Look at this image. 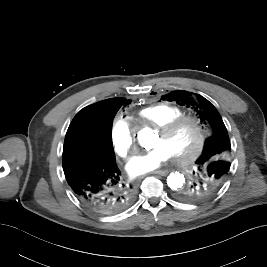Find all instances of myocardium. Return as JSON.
Instances as JSON below:
<instances>
[{"instance_id": "myocardium-1", "label": "myocardium", "mask_w": 267, "mask_h": 267, "mask_svg": "<svg viewBox=\"0 0 267 267\" xmlns=\"http://www.w3.org/2000/svg\"><path fill=\"white\" fill-rule=\"evenodd\" d=\"M189 122L195 126L197 130V140L192 150L186 154H173V157L181 164H187L193 161L203 150L206 141V131L201 121L192 115H181L174 118L158 128V132L162 136H168L176 131L182 124Z\"/></svg>"}]
</instances>
